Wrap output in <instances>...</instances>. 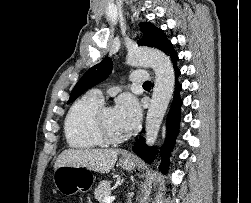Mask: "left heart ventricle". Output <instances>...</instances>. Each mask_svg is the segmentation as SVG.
<instances>
[{
  "mask_svg": "<svg viewBox=\"0 0 251 203\" xmlns=\"http://www.w3.org/2000/svg\"><path fill=\"white\" fill-rule=\"evenodd\" d=\"M104 121H105L107 128L109 129V131L111 133H113L115 135L126 134V132L124 130H122L117 123L114 108L110 107L105 110Z\"/></svg>",
  "mask_w": 251,
  "mask_h": 203,
  "instance_id": "obj_1",
  "label": "left heart ventricle"
}]
</instances>
